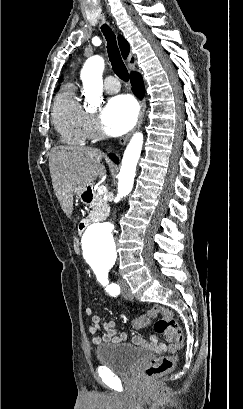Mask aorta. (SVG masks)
Masks as SVG:
<instances>
[{
  "label": "aorta",
  "instance_id": "aorta-1",
  "mask_svg": "<svg viewBox=\"0 0 243 409\" xmlns=\"http://www.w3.org/2000/svg\"><path fill=\"white\" fill-rule=\"evenodd\" d=\"M104 60L100 56H92L85 62L81 71L83 94L90 107H98L102 102V73ZM143 145V134L136 133L131 138L123 156L119 173L118 197L127 196L135 178L136 166ZM111 223H96L89 225L82 236V247L88 259L102 260L115 255V241Z\"/></svg>",
  "mask_w": 243,
  "mask_h": 409
}]
</instances>
